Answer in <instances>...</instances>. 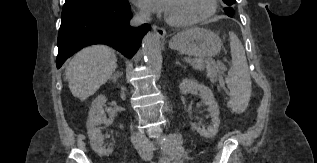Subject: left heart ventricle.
I'll use <instances>...</instances> for the list:
<instances>
[{"mask_svg":"<svg viewBox=\"0 0 317 163\" xmlns=\"http://www.w3.org/2000/svg\"><path fill=\"white\" fill-rule=\"evenodd\" d=\"M208 0H170L166 16L176 21H187L206 12Z\"/></svg>","mask_w":317,"mask_h":163,"instance_id":"obj_1","label":"left heart ventricle"}]
</instances>
